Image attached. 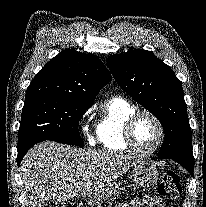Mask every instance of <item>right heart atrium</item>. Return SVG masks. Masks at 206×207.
Wrapping results in <instances>:
<instances>
[{"instance_id": "obj_1", "label": "right heart atrium", "mask_w": 206, "mask_h": 207, "mask_svg": "<svg viewBox=\"0 0 206 207\" xmlns=\"http://www.w3.org/2000/svg\"><path fill=\"white\" fill-rule=\"evenodd\" d=\"M89 113H90V110H87L82 119H81V124H82V129H83V133H84V136L86 137V139L88 140L89 143H94V138L91 134V132L89 131L88 129V117H89Z\"/></svg>"}]
</instances>
